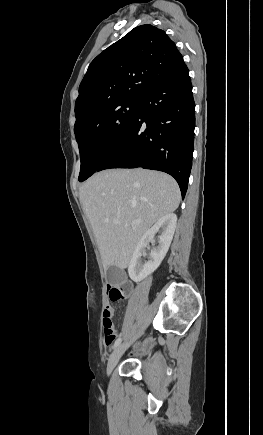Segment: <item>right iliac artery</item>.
I'll return each mask as SVG.
<instances>
[{
    "label": "right iliac artery",
    "mask_w": 263,
    "mask_h": 435,
    "mask_svg": "<svg viewBox=\"0 0 263 435\" xmlns=\"http://www.w3.org/2000/svg\"><path fill=\"white\" fill-rule=\"evenodd\" d=\"M121 341H122V339L121 338H118L116 341H115V343H114V345H113V349H116L119 345H120V343H121Z\"/></svg>",
    "instance_id": "82829eb1"
}]
</instances>
